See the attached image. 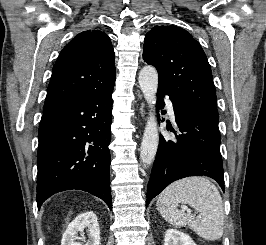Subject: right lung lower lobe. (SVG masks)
Instances as JSON below:
<instances>
[{
  "label": "right lung lower lobe",
  "mask_w": 266,
  "mask_h": 245,
  "mask_svg": "<svg viewBox=\"0 0 266 245\" xmlns=\"http://www.w3.org/2000/svg\"><path fill=\"white\" fill-rule=\"evenodd\" d=\"M113 88L85 93L46 112L39 125L37 204L83 190L112 209L110 152Z\"/></svg>",
  "instance_id": "1"
}]
</instances>
